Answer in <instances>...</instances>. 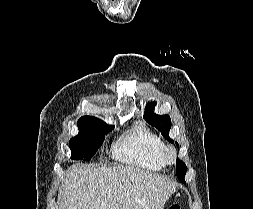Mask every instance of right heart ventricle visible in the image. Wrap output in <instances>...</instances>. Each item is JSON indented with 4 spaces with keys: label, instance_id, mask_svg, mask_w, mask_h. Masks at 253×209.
<instances>
[{
    "label": "right heart ventricle",
    "instance_id": "obj_1",
    "mask_svg": "<svg viewBox=\"0 0 253 209\" xmlns=\"http://www.w3.org/2000/svg\"><path fill=\"white\" fill-rule=\"evenodd\" d=\"M163 141L142 121H136L113 146V155L130 165L148 170H161L166 163L163 158Z\"/></svg>",
    "mask_w": 253,
    "mask_h": 209
}]
</instances>
